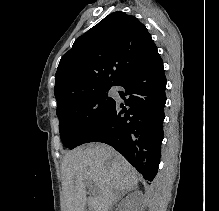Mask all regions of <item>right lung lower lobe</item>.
Segmentation results:
<instances>
[{
	"label": "right lung lower lobe",
	"mask_w": 219,
	"mask_h": 211,
	"mask_svg": "<svg viewBox=\"0 0 219 211\" xmlns=\"http://www.w3.org/2000/svg\"><path fill=\"white\" fill-rule=\"evenodd\" d=\"M116 86L123 88L118 92L125 105L115 101L80 143L103 142L114 147L152 181L158 170L165 117L166 78L161 57L134 69Z\"/></svg>",
	"instance_id": "obj_1"
}]
</instances>
